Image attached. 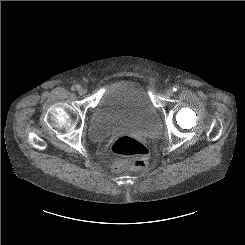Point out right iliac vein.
Returning <instances> with one entry per match:
<instances>
[{"label": "right iliac vein", "mask_w": 245, "mask_h": 245, "mask_svg": "<svg viewBox=\"0 0 245 245\" xmlns=\"http://www.w3.org/2000/svg\"><path fill=\"white\" fill-rule=\"evenodd\" d=\"M78 93H79L80 96H84L87 93V89L83 88V87H80L78 89Z\"/></svg>", "instance_id": "1"}]
</instances>
